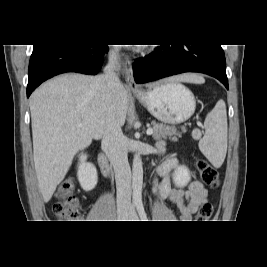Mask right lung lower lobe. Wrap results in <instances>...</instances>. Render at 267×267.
Here are the masks:
<instances>
[{"instance_id": "right-lung-lower-lobe-1", "label": "right lung lower lobe", "mask_w": 267, "mask_h": 267, "mask_svg": "<svg viewBox=\"0 0 267 267\" xmlns=\"http://www.w3.org/2000/svg\"><path fill=\"white\" fill-rule=\"evenodd\" d=\"M108 45H33L29 62L27 97L47 79L62 73L96 75Z\"/></svg>"}]
</instances>
